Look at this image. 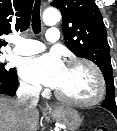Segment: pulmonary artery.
<instances>
[{
  "label": "pulmonary artery",
  "mask_w": 117,
  "mask_h": 131,
  "mask_svg": "<svg viewBox=\"0 0 117 131\" xmlns=\"http://www.w3.org/2000/svg\"><path fill=\"white\" fill-rule=\"evenodd\" d=\"M60 33L57 28H50L46 33L47 41L53 43L59 40ZM14 49L13 52L18 55H33L37 54L45 49V46L32 39L16 38L14 39Z\"/></svg>",
  "instance_id": "1"
}]
</instances>
